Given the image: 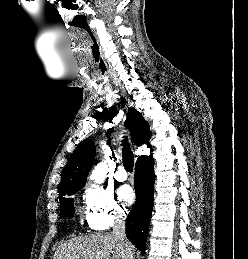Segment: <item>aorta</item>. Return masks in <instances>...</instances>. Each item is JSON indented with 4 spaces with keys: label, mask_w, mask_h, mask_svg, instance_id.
<instances>
[{
    "label": "aorta",
    "mask_w": 248,
    "mask_h": 259,
    "mask_svg": "<svg viewBox=\"0 0 248 259\" xmlns=\"http://www.w3.org/2000/svg\"><path fill=\"white\" fill-rule=\"evenodd\" d=\"M107 173V167L105 162L99 163L93 170L91 174V178L96 182V183H102L105 180Z\"/></svg>",
    "instance_id": "aorta-1"
}]
</instances>
